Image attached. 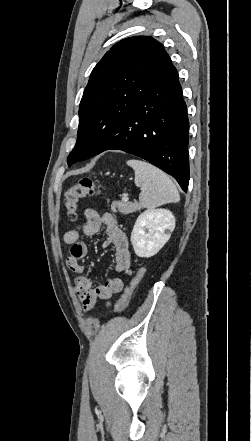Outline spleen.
<instances>
[{"instance_id":"spleen-1","label":"spleen","mask_w":251,"mask_h":441,"mask_svg":"<svg viewBox=\"0 0 251 441\" xmlns=\"http://www.w3.org/2000/svg\"><path fill=\"white\" fill-rule=\"evenodd\" d=\"M127 165L134 169V182L142 189L139 201L143 208L179 202L180 195L175 184L163 171L138 159L128 160Z\"/></svg>"}]
</instances>
